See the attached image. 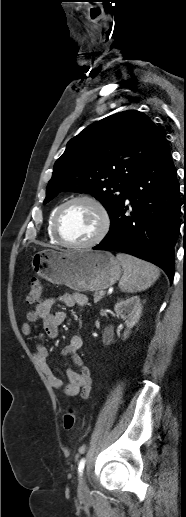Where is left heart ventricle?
I'll list each match as a JSON object with an SVG mask.
<instances>
[{
	"label": "left heart ventricle",
	"mask_w": 186,
	"mask_h": 517,
	"mask_svg": "<svg viewBox=\"0 0 186 517\" xmlns=\"http://www.w3.org/2000/svg\"><path fill=\"white\" fill-rule=\"evenodd\" d=\"M100 217L96 209L87 202H76L68 206L60 219L63 238L72 243L90 240L98 232Z\"/></svg>",
	"instance_id": "1"
}]
</instances>
